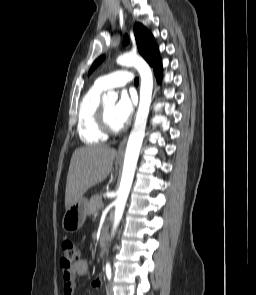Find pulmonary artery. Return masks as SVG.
<instances>
[{"mask_svg": "<svg viewBox=\"0 0 256 295\" xmlns=\"http://www.w3.org/2000/svg\"><path fill=\"white\" fill-rule=\"evenodd\" d=\"M133 80V75L127 70H116L97 79L96 85L103 90L123 87Z\"/></svg>", "mask_w": 256, "mask_h": 295, "instance_id": "e3ab8cb5", "label": "pulmonary artery"}]
</instances>
